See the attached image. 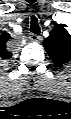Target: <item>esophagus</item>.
Listing matches in <instances>:
<instances>
[{"label":"esophagus","instance_id":"1","mask_svg":"<svg viewBox=\"0 0 71 119\" xmlns=\"http://www.w3.org/2000/svg\"><path fill=\"white\" fill-rule=\"evenodd\" d=\"M29 38L33 42H40L42 40V37L36 34H31Z\"/></svg>","mask_w":71,"mask_h":119}]
</instances>
